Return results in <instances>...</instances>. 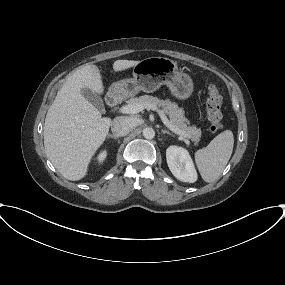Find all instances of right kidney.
<instances>
[{
	"instance_id": "right-kidney-1",
	"label": "right kidney",
	"mask_w": 285,
	"mask_h": 285,
	"mask_svg": "<svg viewBox=\"0 0 285 285\" xmlns=\"http://www.w3.org/2000/svg\"><path fill=\"white\" fill-rule=\"evenodd\" d=\"M106 156H107V151L103 150L97 157L98 162L102 163L105 160Z\"/></svg>"
}]
</instances>
